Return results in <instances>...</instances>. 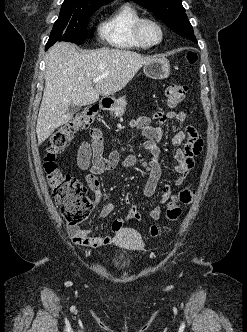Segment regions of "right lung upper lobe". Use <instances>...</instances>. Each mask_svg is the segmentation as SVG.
Instances as JSON below:
<instances>
[{"label":"right lung upper lobe","mask_w":247,"mask_h":332,"mask_svg":"<svg viewBox=\"0 0 247 332\" xmlns=\"http://www.w3.org/2000/svg\"><path fill=\"white\" fill-rule=\"evenodd\" d=\"M65 2H77V3H88V4H108L113 0H64Z\"/></svg>","instance_id":"right-lung-upper-lobe-1"}]
</instances>
